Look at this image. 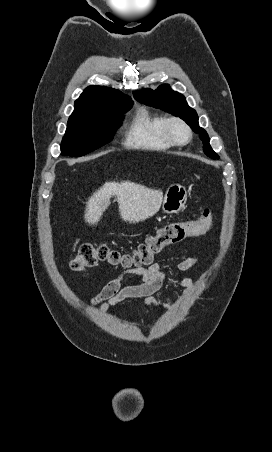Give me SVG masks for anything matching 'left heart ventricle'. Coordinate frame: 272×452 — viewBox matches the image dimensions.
<instances>
[{"label":"left heart ventricle","mask_w":272,"mask_h":452,"mask_svg":"<svg viewBox=\"0 0 272 452\" xmlns=\"http://www.w3.org/2000/svg\"><path fill=\"white\" fill-rule=\"evenodd\" d=\"M174 134H175V136H176L178 139H180V140H182V139L185 138V132H184V130H183L180 126H175V128H174Z\"/></svg>","instance_id":"b2bd125f"}]
</instances>
